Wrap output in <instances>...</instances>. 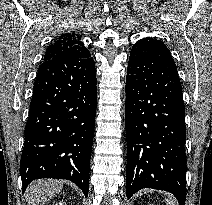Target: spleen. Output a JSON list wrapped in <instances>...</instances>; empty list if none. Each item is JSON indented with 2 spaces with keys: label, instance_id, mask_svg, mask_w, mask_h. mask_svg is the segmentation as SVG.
Returning a JSON list of instances; mask_svg holds the SVG:
<instances>
[{
  "label": "spleen",
  "instance_id": "obj_1",
  "mask_svg": "<svg viewBox=\"0 0 212 205\" xmlns=\"http://www.w3.org/2000/svg\"><path fill=\"white\" fill-rule=\"evenodd\" d=\"M167 205H178L174 198H165Z\"/></svg>",
  "mask_w": 212,
  "mask_h": 205
}]
</instances>
